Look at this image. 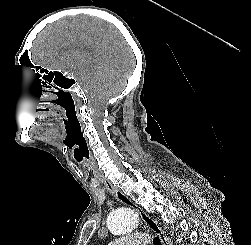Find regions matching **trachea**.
Listing matches in <instances>:
<instances>
[{
  "instance_id": "obj_1",
  "label": "trachea",
  "mask_w": 251,
  "mask_h": 245,
  "mask_svg": "<svg viewBox=\"0 0 251 245\" xmlns=\"http://www.w3.org/2000/svg\"><path fill=\"white\" fill-rule=\"evenodd\" d=\"M153 244H154V245H161V241H160L159 237H155V238L153 239Z\"/></svg>"
}]
</instances>
